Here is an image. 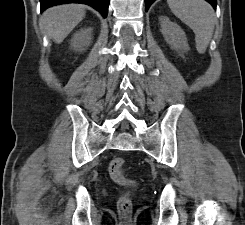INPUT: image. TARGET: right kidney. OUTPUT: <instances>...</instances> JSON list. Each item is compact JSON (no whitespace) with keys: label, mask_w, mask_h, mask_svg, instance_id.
I'll return each mask as SVG.
<instances>
[{"label":"right kidney","mask_w":245,"mask_h":225,"mask_svg":"<svg viewBox=\"0 0 245 225\" xmlns=\"http://www.w3.org/2000/svg\"><path fill=\"white\" fill-rule=\"evenodd\" d=\"M92 29H81L73 35L71 46L76 51H82L84 46H88L91 42Z\"/></svg>","instance_id":"1"}]
</instances>
